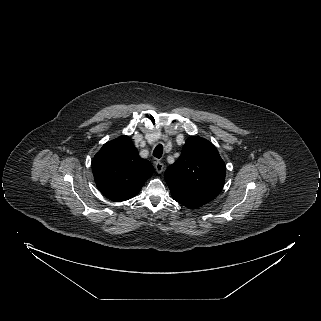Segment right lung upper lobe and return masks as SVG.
<instances>
[{
  "mask_svg": "<svg viewBox=\"0 0 321 321\" xmlns=\"http://www.w3.org/2000/svg\"><path fill=\"white\" fill-rule=\"evenodd\" d=\"M153 170L152 164L139 156L128 136L104 144L92 162L98 189L115 202L136 196Z\"/></svg>",
  "mask_w": 321,
  "mask_h": 321,
  "instance_id": "right-lung-upper-lobe-1",
  "label": "right lung upper lobe"
}]
</instances>
